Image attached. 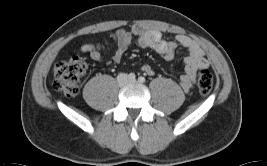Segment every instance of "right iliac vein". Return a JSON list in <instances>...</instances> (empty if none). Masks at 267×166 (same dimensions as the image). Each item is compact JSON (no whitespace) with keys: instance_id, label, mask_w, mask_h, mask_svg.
Returning a JSON list of instances; mask_svg holds the SVG:
<instances>
[{"instance_id":"obj_1","label":"right iliac vein","mask_w":267,"mask_h":166,"mask_svg":"<svg viewBox=\"0 0 267 166\" xmlns=\"http://www.w3.org/2000/svg\"><path fill=\"white\" fill-rule=\"evenodd\" d=\"M118 83L120 86H124L128 83L127 76L125 74H122L118 77Z\"/></svg>"}]
</instances>
